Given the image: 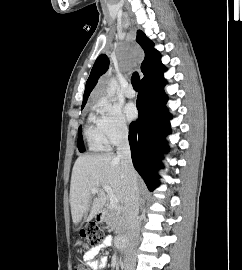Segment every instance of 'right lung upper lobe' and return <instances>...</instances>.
<instances>
[{"mask_svg":"<svg viewBox=\"0 0 242 270\" xmlns=\"http://www.w3.org/2000/svg\"><path fill=\"white\" fill-rule=\"evenodd\" d=\"M136 41L145 52V58L141 64V71L144 74V78L142 80H144L149 74L157 70L162 65L160 54L154 49V43L140 30L137 31ZM108 66L109 60L106 55L99 56L95 61L90 76L86 82L82 107H84L90 92L97 83L98 78L107 71Z\"/></svg>","mask_w":242,"mask_h":270,"instance_id":"cb5924a9","label":"right lung upper lobe"}]
</instances>
